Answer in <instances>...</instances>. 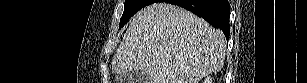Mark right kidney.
<instances>
[{"label":"right kidney","mask_w":307,"mask_h":83,"mask_svg":"<svg viewBox=\"0 0 307 83\" xmlns=\"http://www.w3.org/2000/svg\"><path fill=\"white\" fill-rule=\"evenodd\" d=\"M204 83H212V78L210 76L206 77Z\"/></svg>","instance_id":"ca27d5eb"}]
</instances>
